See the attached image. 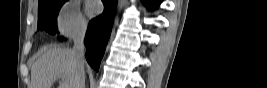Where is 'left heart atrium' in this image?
I'll use <instances>...</instances> for the list:
<instances>
[{
    "label": "left heart atrium",
    "instance_id": "obj_1",
    "mask_svg": "<svg viewBox=\"0 0 267 88\" xmlns=\"http://www.w3.org/2000/svg\"><path fill=\"white\" fill-rule=\"evenodd\" d=\"M86 9H87L88 14L93 16L99 13L100 5L96 1H90L88 2Z\"/></svg>",
    "mask_w": 267,
    "mask_h": 88
}]
</instances>
